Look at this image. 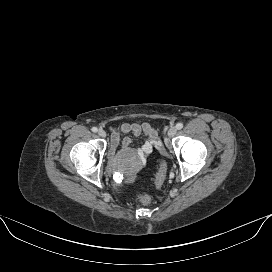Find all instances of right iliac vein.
I'll list each match as a JSON object with an SVG mask.
<instances>
[{"label": "right iliac vein", "mask_w": 272, "mask_h": 272, "mask_svg": "<svg viewBox=\"0 0 272 272\" xmlns=\"http://www.w3.org/2000/svg\"><path fill=\"white\" fill-rule=\"evenodd\" d=\"M98 135H99L100 137H106V132H105L104 130L100 129V130L98 131Z\"/></svg>", "instance_id": "1"}]
</instances>
